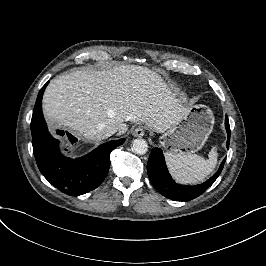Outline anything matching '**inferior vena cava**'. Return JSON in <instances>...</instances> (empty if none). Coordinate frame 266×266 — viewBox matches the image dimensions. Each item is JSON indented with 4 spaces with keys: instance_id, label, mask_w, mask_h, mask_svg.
Listing matches in <instances>:
<instances>
[{
    "instance_id": "1",
    "label": "inferior vena cava",
    "mask_w": 266,
    "mask_h": 266,
    "mask_svg": "<svg viewBox=\"0 0 266 266\" xmlns=\"http://www.w3.org/2000/svg\"><path fill=\"white\" fill-rule=\"evenodd\" d=\"M104 135L102 137V139L108 138L111 135L115 134L117 132L116 129H103Z\"/></svg>"
}]
</instances>
